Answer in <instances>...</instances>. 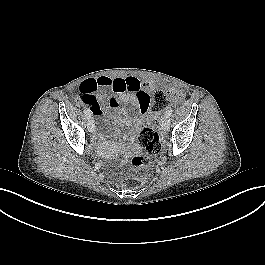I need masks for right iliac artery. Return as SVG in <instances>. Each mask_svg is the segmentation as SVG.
<instances>
[{
  "instance_id": "1",
  "label": "right iliac artery",
  "mask_w": 265,
  "mask_h": 265,
  "mask_svg": "<svg viewBox=\"0 0 265 265\" xmlns=\"http://www.w3.org/2000/svg\"><path fill=\"white\" fill-rule=\"evenodd\" d=\"M84 114H85V116L89 119V118H91V113H90V111L88 110V109H85L84 110Z\"/></svg>"
}]
</instances>
